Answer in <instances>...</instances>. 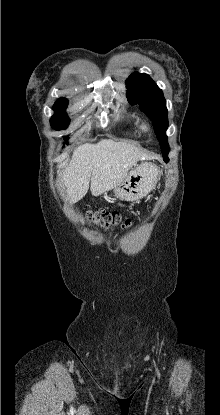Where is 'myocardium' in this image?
<instances>
[{
  "label": "myocardium",
  "instance_id": "1",
  "mask_svg": "<svg viewBox=\"0 0 220 415\" xmlns=\"http://www.w3.org/2000/svg\"><path fill=\"white\" fill-rule=\"evenodd\" d=\"M150 124L149 123H147V122H144V123H142V125H141V130L142 131H144V132H148V131H150Z\"/></svg>",
  "mask_w": 220,
  "mask_h": 415
}]
</instances>
